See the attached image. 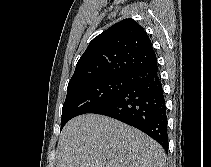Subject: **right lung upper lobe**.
I'll use <instances>...</instances> for the list:
<instances>
[{
	"label": "right lung upper lobe",
	"mask_w": 211,
	"mask_h": 167,
	"mask_svg": "<svg viewBox=\"0 0 211 167\" xmlns=\"http://www.w3.org/2000/svg\"><path fill=\"white\" fill-rule=\"evenodd\" d=\"M156 61L151 40L133 19H124L95 37L77 62L68 88L108 76H128Z\"/></svg>",
	"instance_id": "right-lung-upper-lobe-1"
}]
</instances>
